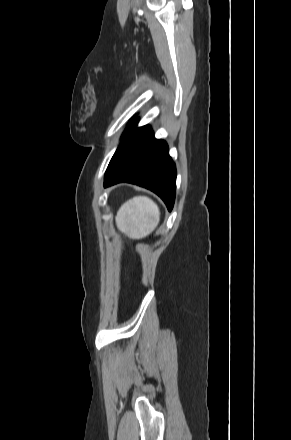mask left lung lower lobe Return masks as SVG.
I'll list each match as a JSON object with an SVG mask.
<instances>
[{"label":"left lung lower lobe","mask_w":291,"mask_h":440,"mask_svg":"<svg viewBox=\"0 0 291 440\" xmlns=\"http://www.w3.org/2000/svg\"><path fill=\"white\" fill-rule=\"evenodd\" d=\"M126 128L105 173L104 187L129 182L150 189L162 198L169 211L175 200L176 168L163 140L154 138L150 126Z\"/></svg>","instance_id":"0a47b994"}]
</instances>
